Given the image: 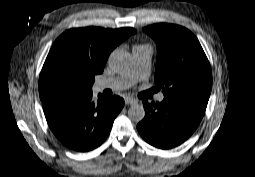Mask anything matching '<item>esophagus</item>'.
I'll list each match as a JSON object with an SVG mask.
<instances>
[{"instance_id": "34e87169", "label": "esophagus", "mask_w": 255, "mask_h": 177, "mask_svg": "<svg viewBox=\"0 0 255 177\" xmlns=\"http://www.w3.org/2000/svg\"><path fill=\"white\" fill-rule=\"evenodd\" d=\"M136 103H138V100H136V99H134V98H132V97H126L125 98V104H136Z\"/></svg>"}]
</instances>
